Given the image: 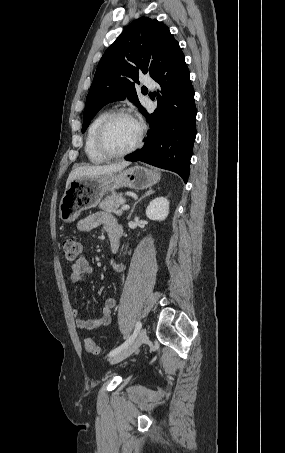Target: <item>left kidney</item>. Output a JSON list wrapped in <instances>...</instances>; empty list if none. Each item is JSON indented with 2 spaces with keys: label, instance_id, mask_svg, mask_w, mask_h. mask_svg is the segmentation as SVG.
<instances>
[{
  "label": "left kidney",
  "instance_id": "5707ae66",
  "mask_svg": "<svg viewBox=\"0 0 285 453\" xmlns=\"http://www.w3.org/2000/svg\"><path fill=\"white\" fill-rule=\"evenodd\" d=\"M169 214V201L165 197L155 198L146 209V216L150 220L163 221Z\"/></svg>",
  "mask_w": 285,
  "mask_h": 453
}]
</instances>
